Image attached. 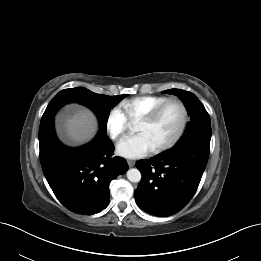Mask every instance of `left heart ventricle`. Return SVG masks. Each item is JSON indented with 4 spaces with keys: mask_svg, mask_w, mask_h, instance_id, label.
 <instances>
[{
    "mask_svg": "<svg viewBox=\"0 0 261 261\" xmlns=\"http://www.w3.org/2000/svg\"><path fill=\"white\" fill-rule=\"evenodd\" d=\"M181 121V112L178 107L171 105L167 107L160 117L152 124L137 123L135 131L142 133L152 148H155L176 133Z\"/></svg>",
    "mask_w": 261,
    "mask_h": 261,
    "instance_id": "left-heart-ventricle-1",
    "label": "left heart ventricle"
}]
</instances>
